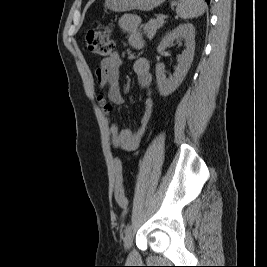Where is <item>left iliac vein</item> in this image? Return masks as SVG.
Wrapping results in <instances>:
<instances>
[{
    "label": "left iliac vein",
    "instance_id": "1",
    "mask_svg": "<svg viewBox=\"0 0 267 267\" xmlns=\"http://www.w3.org/2000/svg\"><path fill=\"white\" fill-rule=\"evenodd\" d=\"M132 241H133V234L130 231L129 233L126 234V236L124 237V248L125 250H129L131 248L132 245Z\"/></svg>",
    "mask_w": 267,
    "mask_h": 267
}]
</instances>
